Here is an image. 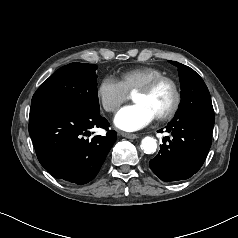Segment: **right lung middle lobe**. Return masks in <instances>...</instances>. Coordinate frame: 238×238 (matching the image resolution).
Here are the masks:
<instances>
[{"mask_svg":"<svg viewBox=\"0 0 238 238\" xmlns=\"http://www.w3.org/2000/svg\"><path fill=\"white\" fill-rule=\"evenodd\" d=\"M96 69L87 63L61 67L35 92L32 104L72 105L99 112Z\"/></svg>","mask_w":238,"mask_h":238,"instance_id":"dd1d6c3e","label":"right lung middle lobe"}]
</instances>
